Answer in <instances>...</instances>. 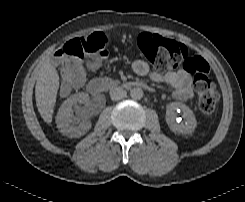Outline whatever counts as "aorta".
<instances>
[{
	"instance_id": "1",
	"label": "aorta",
	"mask_w": 245,
	"mask_h": 202,
	"mask_svg": "<svg viewBox=\"0 0 245 202\" xmlns=\"http://www.w3.org/2000/svg\"><path fill=\"white\" fill-rule=\"evenodd\" d=\"M143 90L139 87L133 88L130 91V96L134 100H140L143 97Z\"/></svg>"
}]
</instances>
